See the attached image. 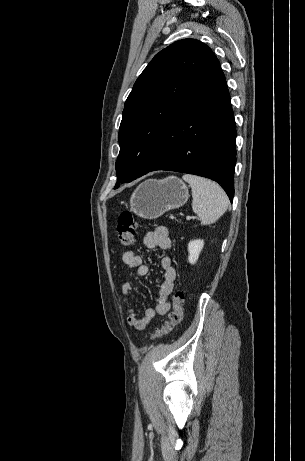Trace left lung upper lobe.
Returning <instances> with one entry per match:
<instances>
[{
	"label": "left lung upper lobe",
	"mask_w": 305,
	"mask_h": 461,
	"mask_svg": "<svg viewBox=\"0 0 305 461\" xmlns=\"http://www.w3.org/2000/svg\"><path fill=\"white\" fill-rule=\"evenodd\" d=\"M216 60L204 43L183 39L160 51L147 65L124 105L116 161L119 182H131L148 172L168 122Z\"/></svg>",
	"instance_id": "left-lung-upper-lobe-1"
}]
</instances>
